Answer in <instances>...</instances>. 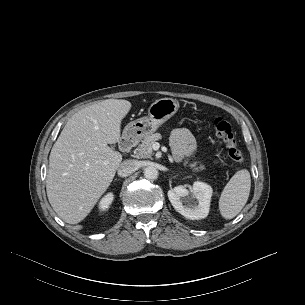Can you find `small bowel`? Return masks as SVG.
Instances as JSON below:
<instances>
[{"label":"small bowel","mask_w":305,"mask_h":305,"mask_svg":"<svg viewBox=\"0 0 305 305\" xmlns=\"http://www.w3.org/2000/svg\"><path fill=\"white\" fill-rule=\"evenodd\" d=\"M173 157L176 161L192 157L196 152V141L187 129H176L170 138Z\"/></svg>","instance_id":"small-bowel-1"}]
</instances>
